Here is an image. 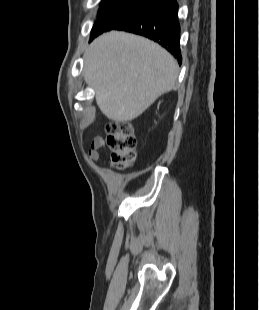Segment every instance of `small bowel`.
Instances as JSON below:
<instances>
[{
	"label": "small bowel",
	"instance_id": "c3829d8e",
	"mask_svg": "<svg viewBox=\"0 0 259 310\" xmlns=\"http://www.w3.org/2000/svg\"><path fill=\"white\" fill-rule=\"evenodd\" d=\"M105 147V141L102 137H95L89 150V158L97 161L100 158L101 150Z\"/></svg>",
	"mask_w": 259,
	"mask_h": 310
}]
</instances>
